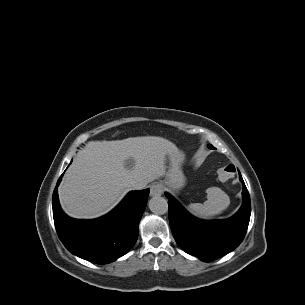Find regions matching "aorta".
I'll return each mask as SVG.
<instances>
[{"label":"aorta","mask_w":305,"mask_h":305,"mask_svg":"<svg viewBox=\"0 0 305 305\" xmlns=\"http://www.w3.org/2000/svg\"><path fill=\"white\" fill-rule=\"evenodd\" d=\"M148 206L149 209L157 215H163L168 212V203L163 197L160 196L151 198Z\"/></svg>","instance_id":"aorta-1"}]
</instances>
